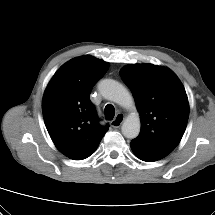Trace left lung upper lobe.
Listing matches in <instances>:
<instances>
[{
  "instance_id": "left-lung-upper-lobe-1",
  "label": "left lung upper lobe",
  "mask_w": 215,
  "mask_h": 215,
  "mask_svg": "<svg viewBox=\"0 0 215 215\" xmlns=\"http://www.w3.org/2000/svg\"><path fill=\"white\" fill-rule=\"evenodd\" d=\"M133 93L141 131L130 145L166 157L179 144L189 116V103L178 77L168 68L131 64L120 72Z\"/></svg>"
}]
</instances>
